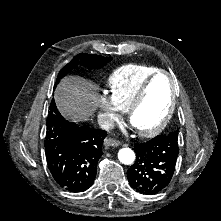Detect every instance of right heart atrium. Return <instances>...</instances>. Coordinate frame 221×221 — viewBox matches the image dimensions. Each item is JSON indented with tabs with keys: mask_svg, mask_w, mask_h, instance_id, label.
<instances>
[{
	"mask_svg": "<svg viewBox=\"0 0 221 221\" xmlns=\"http://www.w3.org/2000/svg\"><path fill=\"white\" fill-rule=\"evenodd\" d=\"M100 109V123L105 127L111 125L121 112V108L114 97L107 94L100 97Z\"/></svg>",
	"mask_w": 221,
	"mask_h": 221,
	"instance_id": "1",
	"label": "right heart atrium"
}]
</instances>
